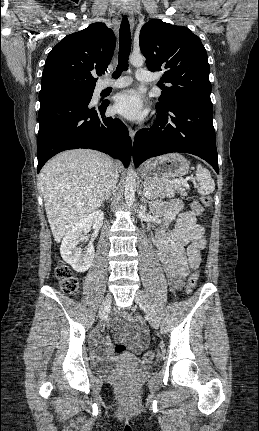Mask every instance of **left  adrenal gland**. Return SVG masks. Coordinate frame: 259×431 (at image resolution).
Segmentation results:
<instances>
[{"instance_id":"1","label":"left adrenal gland","mask_w":259,"mask_h":431,"mask_svg":"<svg viewBox=\"0 0 259 431\" xmlns=\"http://www.w3.org/2000/svg\"><path fill=\"white\" fill-rule=\"evenodd\" d=\"M141 202H143L144 204L149 203V201L146 200V198L143 195H142V198H141Z\"/></svg>"}]
</instances>
